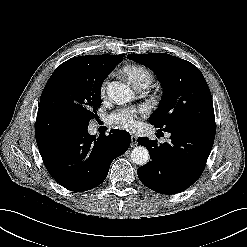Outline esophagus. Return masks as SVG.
Listing matches in <instances>:
<instances>
[{
	"label": "esophagus",
	"mask_w": 247,
	"mask_h": 247,
	"mask_svg": "<svg viewBox=\"0 0 247 247\" xmlns=\"http://www.w3.org/2000/svg\"><path fill=\"white\" fill-rule=\"evenodd\" d=\"M137 145V136L134 134H131V146L134 147Z\"/></svg>",
	"instance_id": "34e87169"
}]
</instances>
